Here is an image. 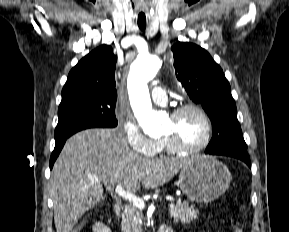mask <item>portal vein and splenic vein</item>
Returning <instances> with one entry per match:
<instances>
[{"label":"portal vein and splenic vein","mask_w":289,"mask_h":232,"mask_svg":"<svg viewBox=\"0 0 289 232\" xmlns=\"http://www.w3.org/2000/svg\"><path fill=\"white\" fill-rule=\"evenodd\" d=\"M115 192L122 198L130 201L133 205H135L136 207H138L140 210L144 209L145 207V203L143 201V199L137 197L135 194L125 190L122 188L121 185H117L115 188ZM166 201H170L173 202L174 198L171 196L166 197Z\"/></svg>","instance_id":"obj_1"}]
</instances>
